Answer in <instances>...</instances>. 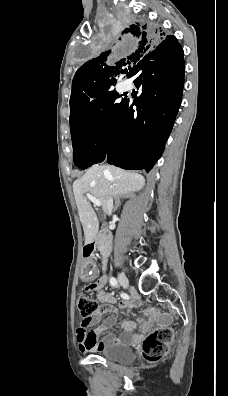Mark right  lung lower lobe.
I'll return each instance as SVG.
<instances>
[{
	"label": "right lung lower lobe",
	"mask_w": 228,
	"mask_h": 396,
	"mask_svg": "<svg viewBox=\"0 0 228 396\" xmlns=\"http://www.w3.org/2000/svg\"><path fill=\"white\" fill-rule=\"evenodd\" d=\"M158 47L140 61L132 75L137 76L134 83L142 94L135 100L124 98L109 134L106 160L123 169L148 172L153 168L181 104L185 70L182 47Z\"/></svg>",
	"instance_id": "1"
}]
</instances>
